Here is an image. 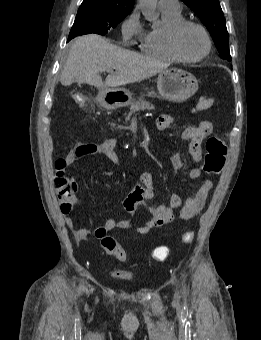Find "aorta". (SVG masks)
<instances>
[{
  "label": "aorta",
  "instance_id": "obj_1",
  "mask_svg": "<svg viewBox=\"0 0 261 340\" xmlns=\"http://www.w3.org/2000/svg\"><path fill=\"white\" fill-rule=\"evenodd\" d=\"M139 6L143 15L150 21H156L158 14L156 13L157 0H139Z\"/></svg>",
  "mask_w": 261,
  "mask_h": 340
}]
</instances>
